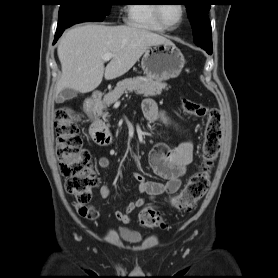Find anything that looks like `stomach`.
<instances>
[{
	"instance_id": "obj_1",
	"label": "stomach",
	"mask_w": 278,
	"mask_h": 278,
	"mask_svg": "<svg viewBox=\"0 0 278 278\" xmlns=\"http://www.w3.org/2000/svg\"><path fill=\"white\" fill-rule=\"evenodd\" d=\"M184 65V55L172 42L149 46L141 61L144 74L161 81L178 77Z\"/></svg>"
}]
</instances>
